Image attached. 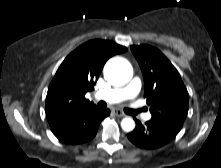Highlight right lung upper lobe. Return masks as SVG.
<instances>
[{"label":"right lung upper lobe","mask_w":221,"mask_h":168,"mask_svg":"<svg viewBox=\"0 0 221 168\" xmlns=\"http://www.w3.org/2000/svg\"><path fill=\"white\" fill-rule=\"evenodd\" d=\"M126 47L113 41L91 40L70 53L58 68L47 92V119L96 107L85 98L100 75L105 62Z\"/></svg>","instance_id":"1"}]
</instances>
